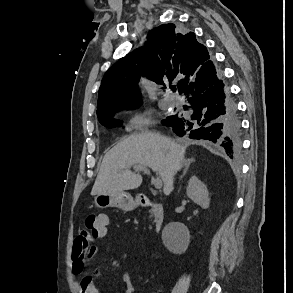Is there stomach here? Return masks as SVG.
<instances>
[{"mask_svg":"<svg viewBox=\"0 0 293 293\" xmlns=\"http://www.w3.org/2000/svg\"><path fill=\"white\" fill-rule=\"evenodd\" d=\"M94 204L98 208L117 207L124 211H131L136 206L133 197L127 192H119L113 195L97 194L94 197Z\"/></svg>","mask_w":293,"mask_h":293,"instance_id":"obj_1","label":"stomach"}]
</instances>
